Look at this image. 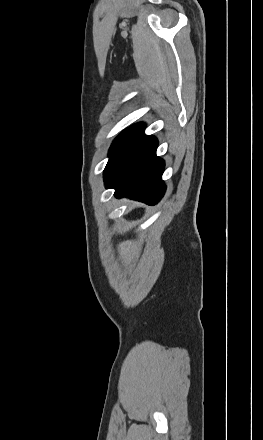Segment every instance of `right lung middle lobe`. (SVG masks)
Here are the masks:
<instances>
[{"mask_svg":"<svg viewBox=\"0 0 263 440\" xmlns=\"http://www.w3.org/2000/svg\"><path fill=\"white\" fill-rule=\"evenodd\" d=\"M144 123H137L120 133L109 150V161L104 170L107 179L144 137Z\"/></svg>","mask_w":263,"mask_h":440,"instance_id":"obj_1","label":"right lung middle lobe"}]
</instances>
